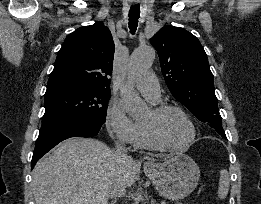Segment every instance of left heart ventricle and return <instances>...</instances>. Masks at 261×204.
<instances>
[{
    "mask_svg": "<svg viewBox=\"0 0 261 204\" xmlns=\"http://www.w3.org/2000/svg\"><path fill=\"white\" fill-rule=\"evenodd\" d=\"M150 119V111L143 121ZM158 131L161 137L171 145L184 144L191 135V129L186 119L177 111H168L158 121Z\"/></svg>",
    "mask_w": 261,
    "mask_h": 204,
    "instance_id": "obj_1",
    "label": "left heart ventricle"
}]
</instances>
